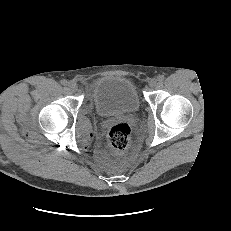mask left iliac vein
I'll list each match as a JSON object with an SVG mask.
<instances>
[{"label":"left iliac vein","instance_id":"left-iliac-vein-1","mask_svg":"<svg viewBox=\"0 0 231 231\" xmlns=\"http://www.w3.org/2000/svg\"><path fill=\"white\" fill-rule=\"evenodd\" d=\"M157 79L156 78H152L149 80V87L153 88L157 85Z\"/></svg>","mask_w":231,"mask_h":231}]
</instances>
